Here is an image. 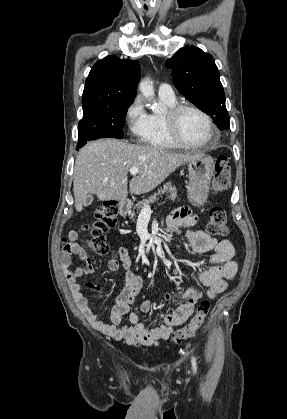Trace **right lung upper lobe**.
I'll return each mask as SVG.
<instances>
[{"mask_svg":"<svg viewBox=\"0 0 287 419\" xmlns=\"http://www.w3.org/2000/svg\"><path fill=\"white\" fill-rule=\"evenodd\" d=\"M140 78L134 60L108 56L91 69L82 96L83 112L104 106L133 103Z\"/></svg>","mask_w":287,"mask_h":419,"instance_id":"cb5924a9","label":"right lung upper lobe"}]
</instances>
